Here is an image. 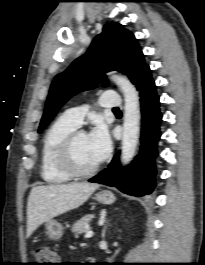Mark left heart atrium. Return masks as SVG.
I'll return each instance as SVG.
<instances>
[{
	"label": "left heart atrium",
	"instance_id": "39dd6f15",
	"mask_svg": "<svg viewBox=\"0 0 205 265\" xmlns=\"http://www.w3.org/2000/svg\"><path fill=\"white\" fill-rule=\"evenodd\" d=\"M90 148L97 162L104 160L111 149V140L107 127L98 122L88 134Z\"/></svg>",
	"mask_w": 205,
	"mask_h": 265
}]
</instances>
